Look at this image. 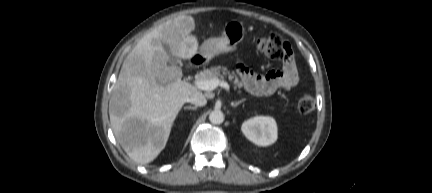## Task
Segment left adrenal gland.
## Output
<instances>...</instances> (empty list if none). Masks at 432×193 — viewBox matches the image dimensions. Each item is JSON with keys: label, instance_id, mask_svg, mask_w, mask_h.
Segmentation results:
<instances>
[{"label": "left adrenal gland", "instance_id": "obj_1", "mask_svg": "<svg viewBox=\"0 0 432 193\" xmlns=\"http://www.w3.org/2000/svg\"><path fill=\"white\" fill-rule=\"evenodd\" d=\"M245 100H246V99H241V100H239V101H237V102H232L231 105H232L233 107H237L239 104L243 103Z\"/></svg>", "mask_w": 432, "mask_h": 193}]
</instances>
